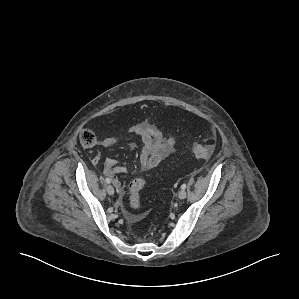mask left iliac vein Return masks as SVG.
<instances>
[{
	"label": "left iliac vein",
	"instance_id": "left-iliac-vein-1",
	"mask_svg": "<svg viewBox=\"0 0 299 299\" xmlns=\"http://www.w3.org/2000/svg\"><path fill=\"white\" fill-rule=\"evenodd\" d=\"M186 195H187V193L184 189L180 190L179 193H178L179 199H185Z\"/></svg>",
	"mask_w": 299,
	"mask_h": 299
}]
</instances>
